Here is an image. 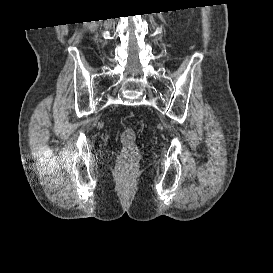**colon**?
I'll use <instances>...</instances> for the list:
<instances>
[{
  "label": "colon",
  "mask_w": 273,
  "mask_h": 273,
  "mask_svg": "<svg viewBox=\"0 0 273 273\" xmlns=\"http://www.w3.org/2000/svg\"><path fill=\"white\" fill-rule=\"evenodd\" d=\"M123 149L119 157V171L129 172L135 165L138 158L136 136L132 128H125L121 134Z\"/></svg>",
  "instance_id": "1"
}]
</instances>
